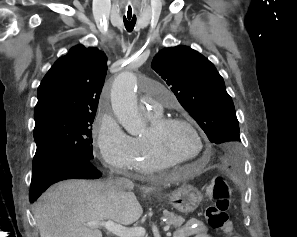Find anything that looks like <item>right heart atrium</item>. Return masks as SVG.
I'll use <instances>...</instances> for the list:
<instances>
[{
	"mask_svg": "<svg viewBox=\"0 0 297 237\" xmlns=\"http://www.w3.org/2000/svg\"><path fill=\"white\" fill-rule=\"evenodd\" d=\"M96 148L103 162L112 170L132 169L133 142L115 116L108 110L101 112L95 126Z\"/></svg>",
	"mask_w": 297,
	"mask_h": 237,
	"instance_id": "right-heart-atrium-1",
	"label": "right heart atrium"
}]
</instances>
